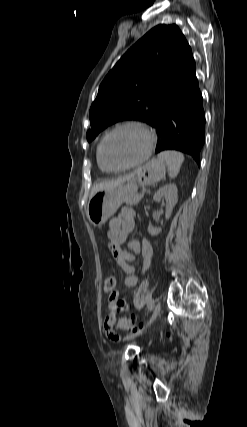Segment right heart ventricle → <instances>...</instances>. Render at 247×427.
<instances>
[{
	"mask_svg": "<svg viewBox=\"0 0 247 427\" xmlns=\"http://www.w3.org/2000/svg\"><path fill=\"white\" fill-rule=\"evenodd\" d=\"M96 159H97V163H98L100 170L103 172H107V170L103 167V165L101 164L100 159H99V145H98L97 150H96Z\"/></svg>",
	"mask_w": 247,
	"mask_h": 427,
	"instance_id": "obj_1",
	"label": "right heart ventricle"
}]
</instances>
